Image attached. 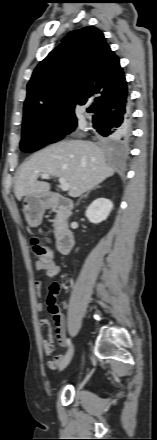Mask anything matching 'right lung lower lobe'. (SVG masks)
Instances as JSON below:
<instances>
[{
    "mask_svg": "<svg viewBox=\"0 0 157 440\" xmlns=\"http://www.w3.org/2000/svg\"><path fill=\"white\" fill-rule=\"evenodd\" d=\"M97 133L105 138L112 137L115 142L128 141L131 132V116L127 96L113 100L93 117Z\"/></svg>",
    "mask_w": 157,
    "mask_h": 440,
    "instance_id": "right-lung-lower-lobe-1",
    "label": "right lung lower lobe"
}]
</instances>
